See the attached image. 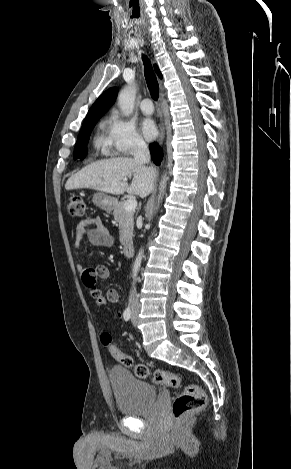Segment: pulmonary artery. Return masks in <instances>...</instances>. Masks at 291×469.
I'll list each match as a JSON object with an SVG mask.
<instances>
[{
    "label": "pulmonary artery",
    "mask_w": 291,
    "mask_h": 469,
    "mask_svg": "<svg viewBox=\"0 0 291 469\" xmlns=\"http://www.w3.org/2000/svg\"><path fill=\"white\" fill-rule=\"evenodd\" d=\"M140 109L144 114L150 115L153 113V104L149 98H145L140 103Z\"/></svg>",
    "instance_id": "e3ab8cb5"
}]
</instances>
